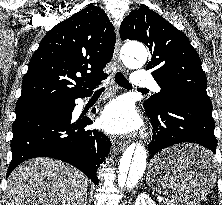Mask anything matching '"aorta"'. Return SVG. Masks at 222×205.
I'll return each mask as SVG.
<instances>
[{
    "label": "aorta",
    "instance_id": "aorta-1",
    "mask_svg": "<svg viewBox=\"0 0 222 205\" xmlns=\"http://www.w3.org/2000/svg\"><path fill=\"white\" fill-rule=\"evenodd\" d=\"M123 61L128 67H140L146 62L148 52L138 42L127 43L123 48ZM147 164V151L141 143L131 144L120 159L116 178L117 192L124 193L135 188Z\"/></svg>",
    "mask_w": 222,
    "mask_h": 205
}]
</instances>
